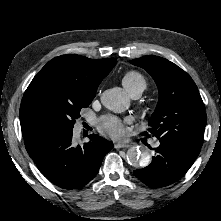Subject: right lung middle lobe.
<instances>
[{"label":"right lung middle lobe","instance_id":"right-lung-middle-lobe-1","mask_svg":"<svg viewBox=\"0 0 221 221\" xmlns=\"http://www.w3.org/2000/svg\"><path fill=\"white\" fill-rule=\"evenodd\" d=\"M93 98L38 83L26 90L21 104L31 116L49 122L53 128L72 130L80 117V110L88 107Z\"/></svg>","mask_w":221,"mask_h":221}]
</instances>
